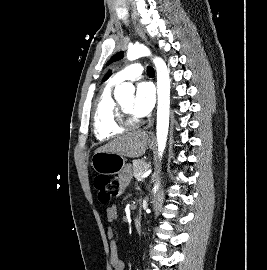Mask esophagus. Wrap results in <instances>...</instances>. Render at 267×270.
<instances>
[{
	"label": "esophagus",
	"mask_w": 267,
	"mask_h": 270,
	"mask_svg": "<svg viewBox=\"0 0 267 270\" xmlns=\"http://www.w3.org/2000/svg\"><path fill=\"white\" fill-rule=\"evenodd\" d=\"M132 19H133V23H134V26H135V29H136L138 35L141 37V39H142L146 44H149V43H148V40H147V38H146V35H145L144 31H143V29L141 28V26L139 25V23H138L137 20H136L135 15H133V14H132ZM150 134H151V136H153V133H152V132H151Z\"/></svg>",
	"instance_id": "obj_1"
}]
</instances>
